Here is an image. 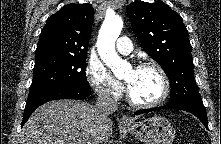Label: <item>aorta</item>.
Segmentation results:
<instances>
[{
    "label": "aorta",
    "instance_id": "1",
    "mask_svg": "<svg viewBox=\"0 0 221 144\" xmlns=\"http://www.w3.org/2000/svg\"><path fill=\"white\" fill-rule=\"evenodd\" d=\"M123 28L119 16L106 17L98 34L97 49L101 60L111 69L116 77L124 75L129 63L124 61L115 50V42Z\"/></svg>",
    "mask_w": 221,
    "mask_h": 144
}]
</instances>
